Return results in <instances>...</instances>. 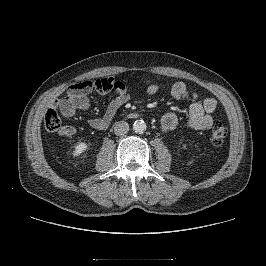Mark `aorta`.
I'll use <instances>...</instances> for the list:
<instances>
[{"label":"aorta","instance_id":"aorta-1","mask_svg":"<svg viewBox=\"0 0 266 266\" xmlns=\"http://www.w3.org/2000/svg\"><path fill=\"white\" fill-rule=\"evenodd\" d=\"M147 126L143 120H137L133 124V130L135 133H143L146 130Z\"/></svg>","mask_w":266,"mask_h":266}]
</instances>
